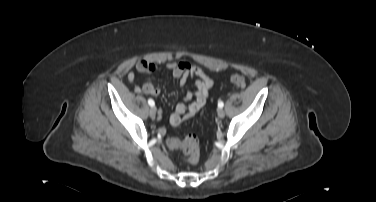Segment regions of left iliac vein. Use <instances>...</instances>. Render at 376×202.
<instances>
[{"mask_svg": "<svg viewBox=\"0 0 376 202\" xmlns=\"http://www.w3.org/2000/svg\"><path fill=\"white\" fill-rule=\"evenodd\" d=\"M217 113L219 118H223L225 116V112L222 108H219Z\"/></svg>", "mask_w": 376, "mask_h": 202, "instance_id": "left-iliac-vein-1", "label": "left iliac vein"}]
</instances>
